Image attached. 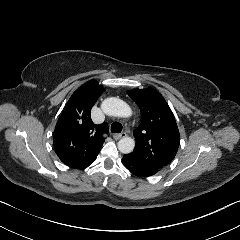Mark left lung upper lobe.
Wrapping results in <instances>:
<instances>
[{"mask_svg": "<svg viewBox=\"0 0 240 240\" xmlns=\"http://www.w3.org/2000/svg\"><path fill=\"white\" fill-rule=\"evenodd\" d=\"M128 95L139 106L142 122L133 132L136 140L133 152L124 156L134 165L159 170L174 159L180 143L173 113L153 88L132 89Z\"/></svg>", "mask_w": 240, "mask_h": 240, "instance_id": "left-lung-upper-lobe-1", "label": "left lung upper lobe"}]
</instances>
